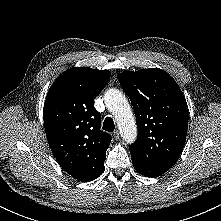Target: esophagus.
<instances>
[{
	"mask_svg": "<svg viewBox=\"0 0 221 221\" xmlns=\"http://www.w3.org/2000/svg\"><path fill=\"white\" fill-rule=\"evenodd\" d=\"M113 137H114L116 140L120 139V133H119L118 130H115V131H114Z\"/></svg>",
	"mask_w": 221,
	"mask_h": 221,
	"instance_id": "esophagus-1",
	"label": "esophagus"
}]
</instances>
